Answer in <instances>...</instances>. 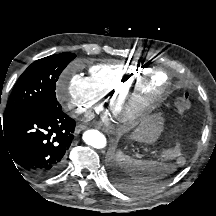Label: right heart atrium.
Here are the masks:
<instances>
[{
    "label": "right heart atrium",
    "mask_w": 216,
    "mask_h": 216,
    "mask_svg": "<svg viewBox=\"0 0 216 216\" xmlns=\"http://www.w3.org/2000/svg\"><path fill=\"white\" fill-rule=\"evenodd\" d=\"M56 92L65 110L74 116L89 117L103 107V99L88 76L67 70L60 76Z\"/></svg>",
    "instance_id": "obj_1"
}]
</instances>
